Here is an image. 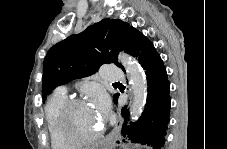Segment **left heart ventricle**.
<instances>
[{"label": "left heart ventricle", "mask_w": 227, "mask_h": 149, "mask_svg": "<svg viewBox=\"0 0 227 149\" xmlns=\"http://www.w3.org/2000/svg\"><path fill=\"white\" fill-rule=\"evenodd\" d=\"M101 119L96 109L87 103L76 106L69 118V130L78 137H89L101 129Z\"/></svg>", "instance_id": "left-heart-ventricle-1"}]
</instances>
